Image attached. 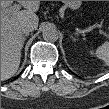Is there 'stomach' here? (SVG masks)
<instances>
[{"label": "stomach", "instance_id": "0dacf381", "mask_svg": "<svg viewBox=\"0 0 109 109\" xmlns=\"http://www.w3.org/2000/svg\"><path fill=\"white\" fill-rule=\"evenodd\" d=\"M63 3L72 11H77L82 6V1H63Z\"/></svg>", "mask_w": 109, "mask_h": 109}]
</instances>
